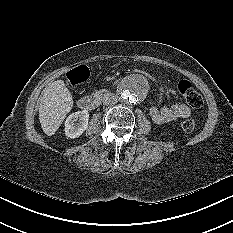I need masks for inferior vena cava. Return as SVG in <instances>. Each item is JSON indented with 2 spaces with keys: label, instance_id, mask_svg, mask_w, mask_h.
Masks as SVG:
<instances>
[{
  "label": "inferior vena cava",
  "instance_id": "inferior-vena-cava-1",
  "mask_svg": "<svg viewBox=\"0 0 233 233\" xmlns=\"http://www.w3.org/2000/svg\"><path fill=\"white\" fill-rule=\"evenodd\" d=\"M118 102V97L114 94L103 100L104 105H115Z\"/></svg>",
  "mask_w": 233,
  "mask_h": 233
}]
</instances>
